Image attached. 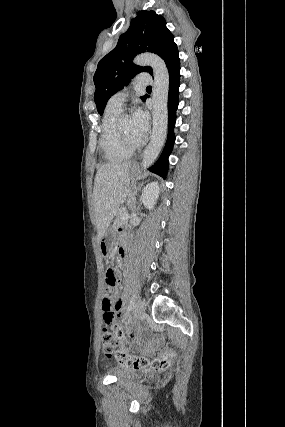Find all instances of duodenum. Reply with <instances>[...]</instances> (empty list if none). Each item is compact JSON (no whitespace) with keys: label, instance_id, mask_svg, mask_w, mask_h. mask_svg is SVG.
I'll use <instances>...</instances> for the list:
<instances>
[{"label":"duodenum","instance_id":"obj_1","mask_svg":"<svg viewBox=\"0 0 285 427\" xmlns=\"http://www.w3.org/2000/svg\"><path fill=\"white\" fill-rule=\"evenodd\" d=\"M128 250H129V247L127 242H122L118 247V253L120 257H124L125 254L128 252Z\"/></svg>","mask_w":285,"mask_h":427}]
</instances>
